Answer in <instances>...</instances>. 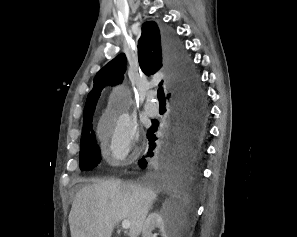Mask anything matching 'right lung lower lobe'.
Wrapping results in <instances>:
<instances>
[{"label":"right lung lower lobe","mask_w":297,"mask_h":237,"mask_svg":"<svg viewBox=\"0 0 297 237\" xmlns=\"http://www.w3.org/2000/svg\"><path fill=\"white\" fill-rule=\"evenodd\" d=\"M163 45L167 65L172 75L170 129L157 144L155 132L159 123L148 129L149 150L139 160L141 168H147L150 179L174 174L201 173L203 148L201 137L206 114L204 94L199 88L180 40L174 32L162 27ZM158 149L153 152V150Z\"/></svg>","instance_id":"98d812e1"}]
</instances>
